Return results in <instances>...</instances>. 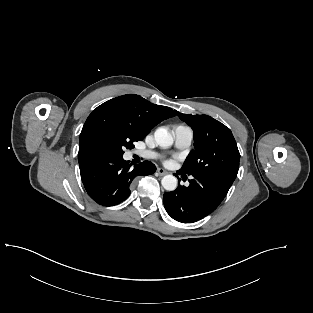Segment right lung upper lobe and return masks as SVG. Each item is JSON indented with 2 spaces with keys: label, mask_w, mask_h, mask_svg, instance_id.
I'll list each match as a JSON object with an SVG mask.
<instances>
[{
  "label": "right lung upper lobe",
  "mask_w": 313,
  "mask_h": 313,
  "mask_svg": "<svg viewBox=\"0 0 313 313\" xmlns=\"http://www.w3.org/2000/svg\"><path fill=\"white\" fill-rule=\"evenodd\" d=\"M176 115L171 108L127 94L98 106L87 118L79 139L78 159L100 153L101 135L111 122H124L145 137L161 121Z\"/></svg>",
  "instance_id": "right-lung-upper-lobe-1"
}]
</instances>
